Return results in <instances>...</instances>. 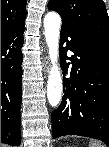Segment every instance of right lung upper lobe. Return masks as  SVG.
Segmentation results:
<instances>
[{
    "label": "right lung upper lobe",
    "mask_w": 109,
    "mask_h": 147,
    "mask_svg": "<svg viewBox=\"0 0 109 147\" xmlns=\"http://www.w3.org/2000/svg\"><path fill=\"white\" fill-rule=\"evenodd\" d=\"M26 0H1V35L25 24Z\"/></svg>",
    "instance_id": "right-lung-upper-lobe-1"
}]
</instances>
